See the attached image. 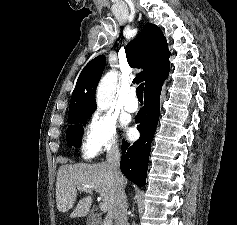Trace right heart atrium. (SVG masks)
Masks as SVG:
<instances>
[{
	"mask_svg": "<svg viewBox=\"0 0 237 225\" xmlns=\"http://www.w3.org/2000/svg\"><path fill=\"white\" fill-rule=\"evenodd\" d=\"M118 150L117 125L110 118L94 113L85 123L81 136V151L87 158L102 152Z\"/></svg>",
	"mask_w": 237,
	"mask_h": 225,
	"instance_id": "1",
	"label": "right heart atrium"
}]
</instances>
